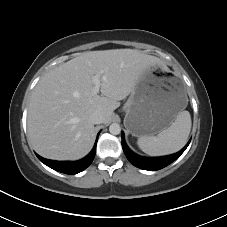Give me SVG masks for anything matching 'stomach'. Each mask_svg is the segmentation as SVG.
Returning <instances> with one entry per match:
<instances>
[{"mask_svg": "<svg viewBox=\"0 0 227 227\" xmlns=\"http://www.w3.org/2000/svg\"><path fill=\"white\" fill-rule=\"evenodd\" d=\"M154 65L139 77L123 109L124 125L136 137L152 136L168 128L188 99L180 80L161 74Z\"/></svg>", "mask_w": 227, "mask_h": 227, "instance_id": "0dacf381", "label": "stomach"}]
</instances>
